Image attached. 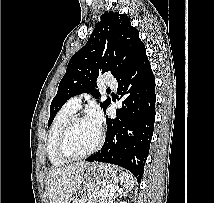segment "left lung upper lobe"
<instances>
[{"mask_svg":"<svg viewBox=\"0 0 214 203\" xmlns=\"http://www.w3.org/2000/svg\"><path fill=\"white\" fill-rule=\"evenodd\" d=\"M144 49L139 31L131 26L127 15L112 11L103 14L86 45L68 63L57 94L51 102L48 127L69 98L82 93L99 97V91L94 89L97 77L110 72L118 79ZM109 104V98L100 104L104 112Z\"/></svg>","mask_w":214,"mask_h":203,"instance_id":"obj_1","label":"left lung upper lobe"}]
</instances>
